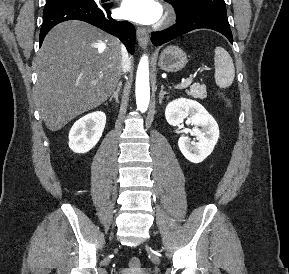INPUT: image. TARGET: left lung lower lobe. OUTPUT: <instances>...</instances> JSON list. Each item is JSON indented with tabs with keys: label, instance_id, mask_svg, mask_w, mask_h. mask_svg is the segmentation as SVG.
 I'll return each instance as SVG.
<instances>
[{
	"label": "left lung lower lobe",
	"instance_id": "obj_1",
	"mask_svg": "<svg viewBox=\"0 0 289 274\" xmlns=\"http://www.w3.org/2000/svg\"><path fill=\"white\" fill-rule=\"evenodd\" d=\"M176 22L175 25L164 31L152 33V43L155 46H160L178 36L200 28H207L220 32L227 37L230 43H233V36L226 11L201 10L193 13L187 18L176 20Z\"/></svg>",
	"mask_w": 289,
	"mask_h": 274
}]
</instances>
